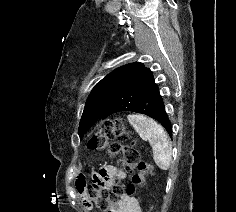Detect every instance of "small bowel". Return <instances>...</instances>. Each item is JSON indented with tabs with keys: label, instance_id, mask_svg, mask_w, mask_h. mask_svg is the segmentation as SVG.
<instances>
[{
	"label": "small bowel",
	"instance_id": "obj_1",
	"mask_svg": "<svg viewBox=\"0 0 236 212\" xmlns=\"http://www.w3.org/2000/svg\"><path fill=\"white\" fill-rule=\"evenodd\" d=\"M116 170L113 167H109L104 171V174L100 176V180L106 184L111 176L115 174ZM78 190L81 196H85L84 181L79 180ZM85 209L88 211L91 210V205L87 200L83 202ZM113 212H141L138 200L132 196H123L118 206L114 209Z\"/></svg>",
	"mask_w": 236,
	"mask_h": 212
}]
</instances>
